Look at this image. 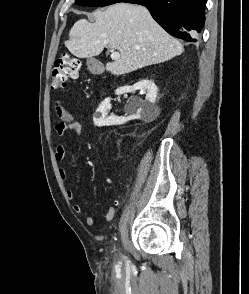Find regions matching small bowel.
<instances>
[{"instance_id":"obj_1","label":"small bowel","mask_w":249,"mask_h":294,"mask_svg":"<svg viewBox=\"0 0 249 294\" xmlns=\"http://www.w3.org/2000/svg\"><path fill=\"white\" fill-rule=\"evenodd\" d=\"M58 112L61 116V120L57 123L56 125V131L59 135H63L67 131H71L74 134L79 135L82 131V126L78 120H76L74 117L71 115H68L64 113L60 107H58ZM66 155V145L64 143H60L55 151V158L57 161H62L65 158ZM60 176L62 181L67 184L71 185L72 180L69 177L68 173L66 170L61 167L60 168ZM67 197L69 200H74L75 199V192L72 189H67L66 191ZM119 204L118 201L114 202V205H110L106 208V215L105 218L107 221H112L114 216H115V206ZM73 210L77 214L84 215L85 217V222L88 226H94L95 220L91 215H88L85 213L84 209L82 208L81 205L79 204H74Z\"/></svg>"}]
</instances>
